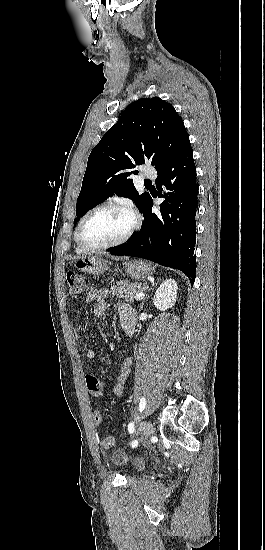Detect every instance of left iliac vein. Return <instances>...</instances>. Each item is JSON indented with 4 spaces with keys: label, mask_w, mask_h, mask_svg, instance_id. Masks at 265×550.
Here are the masks:
<instances>
[{
    "label": "left iliac vein",
    "mask_w": 265,
    "mask_h": 550,
    "mask_svg": "<svg viewBox=\"0 0 265 550\" xmlns=\"http://www.w3.org/2000/svg\"><path fill=\"white\" fill-rule=\"evenodd\" d=\"M140 433L142 437L148 438L152 434V425L148 421H144L141 424Z\"/></svg>",
    "instance_id": "1"
}]
</instances>
